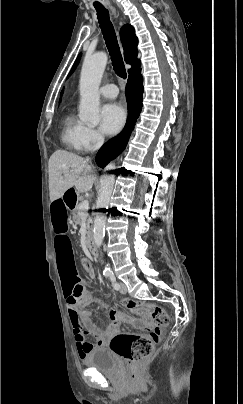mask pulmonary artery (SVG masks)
<instances>
[{
    "label": "pulmonary artery",
    "mask_w": 243,
    "mask_h": 404,
    "mask_svg": "<svg viewBox=\"0 0 243 404\" xmlns=\"http://www.w3.org/2000/svg\"><path fill=\"white\" fill-rule=\"evenodd\" d=\"M100 56L102 57L101 59V63L102 65L105 63V54L102 53L100 54ZM100 93L104 96V97H108V98H114L117 96L118 94V88L116 85L114 84H106L104 86H102L100 88Z\"/></svg>",
    "instance_id": "1"
}]
</instances>
